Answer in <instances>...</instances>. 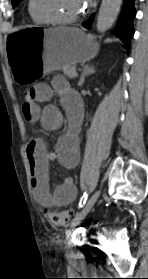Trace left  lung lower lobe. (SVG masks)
<instances>
[{"label":"left lung lower lobe","instance_id":"obj_1","mask_svg":"<svg viewBox=\"0 0 148 279\" xmlns=\"http://www.w3.org/2000/svg\"><path fill=\"white\" fill-rule=\"evenodd\" d=\"M134 1L135 0H124L117 25L113 30V33L125 43L127 50L130 48V39L134 34L133 18L136 14ZM93 20L94 14L83 23V26L86 28H91Z\"/></svg>","mask_w":148,"mask_h":279}]
</instances>
